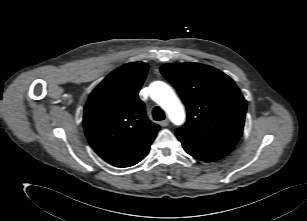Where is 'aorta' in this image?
I'll return each instance as SVG.
<instances>
[{"label":"aorta","instance_id":"1","mask_svg":"<svg viewBox=\"0 0 307 221\" xmlns=\"http://www.w3.org/2000/svg\"><path fill=\"white\" fill-rule=\"evenodd\" d=\"M149 92L151 98L166 111L169 119L175 125H181L184 122V108L169 85L162 81L153 82Z\"/></svg>","mask_w":307,"mask_h":221}]
</instances>
